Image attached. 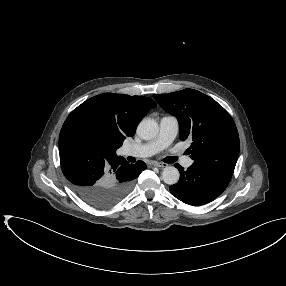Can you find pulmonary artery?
Returning a JSON list of instances; mask_svg holds the SVG:
<instances>
[{
    "instance_id": "pulmonary-artery-1",
    "label": "pulmonary artery",
    "mask_w": 286,
    "mask_h": 286,
    "mask_svg": "<svg viewBox=\"0 0 286 286\" xmlns=\"http://www.w3.org/2000/svg\"><path fill=\"white\" fill-rule=\"evenodd\" d=\"M178 131V119L172 115L163 116L160 120L159 132L154 139L146 143L128 145L125 147L124 152L126 155L133 157H150L168 148L176 138ZM181 163L183 166L189 167L192 161L189 157L182 156Z\"/></svg>"
}]
</instances>
